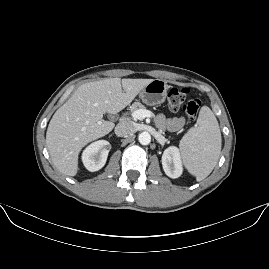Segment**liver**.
Returning <instances> with one entry per match:
<instances>
[{
  "label": "liver",
  "mask_w": 269,
  "mask_h": 269,
  "mask_svg": "<svg viewBox=\"0 0 269 269\" xmlns=\"http://www.w3.org/2000/svg\"><path fill=\"white\" fill-rule=\"evenodd\" d=\"M152 81L116 77L79 86L55 112L47 129L46 144L56 168L62 174L75 176L81 149L115 126L103 120V114L120 112Z\"/></svg>",
  "instance_id": "6515ba94"
}]
</instances>
